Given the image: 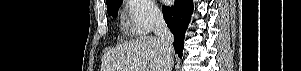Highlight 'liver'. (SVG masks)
<instances>
[{
  "label": "liver",
  "instance_id": "6515ba94",
  "mask_svg": "<svg viewBox=\"0 0 301 71\" xmlns=\"http://www.w3.org/2000/svg\"><path fill=\"white\" fill-rule=\"evenodd\" d=\"M163 53L154 36H141L107 51L101 71H162Z\"/></svg>",
  "mask_w": 301,
  "mask_h": 71
}]
</instances>
